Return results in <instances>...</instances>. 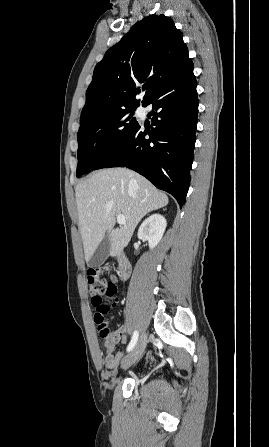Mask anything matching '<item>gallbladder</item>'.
<instances>
[{"label":"gallbladder","instance_id":"1","mask_svg":"<svg viewBox=\"0 0 269 447\" xmlns=\"http://www.w3.org/2000/svg\"><path fill=\"white\" fill-rule=\"evenodd\" d=\"M111 249V243L108 235L103 237L101 243H99L97 249H95L92 257L87 261L89 267H96V265H102L105 259H107Z\"/></svg>","mask_w":269,"mask_h":447}]
</instances>
